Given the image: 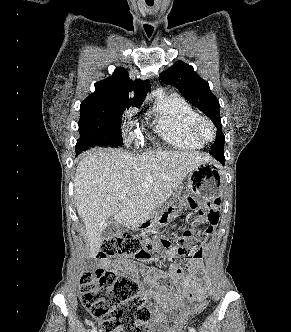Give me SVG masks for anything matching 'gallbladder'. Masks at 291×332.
Instances as JSON below:
<instances>
[{
    "instance_id": "1",
    "label": "gallbladder",
    "mask_w": 291,
    "mask_h": 332,
    "mask_svg": "<svg viewBox=\"0 0 291 332\" xmlns=\"http://www.w3.org/2000/svg\"><path fill=\"white\" fill-rule=\"evenodd\" d=\"M119 233V226L118 224L110 220L107 222L103 232H102V238L104 240L111 239L112 237L116 236Z\"/></svg>"
}]
</instances>
